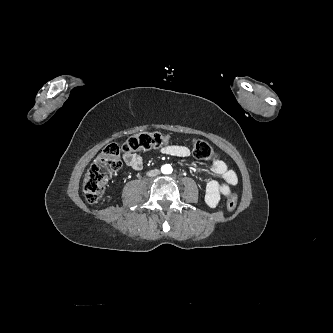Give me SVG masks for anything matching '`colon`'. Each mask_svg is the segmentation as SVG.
I'll return each instance as SVG.
<instances>
[{
    "mask_svg": "<svg viewBox=\"0 0 333 333\" xmlns=\"http://www.w3.org/2000/svg\"><path fill=\"white\" fill-rule=\"evenodd\" d=\"M169 137L160 132H141L129 137L121 146L107 145L89 168L83 182V193L87 202L94 204L104 194L109 177L121 168V156L126 153L147 151L168 143ZM193 155L203 161L216 160V153L205 141L195 139L191 143ZM237 205V195L231 192L227 199V209L233 211Z\"/></svg>",
    "mask_w": 333,
    "mask_h": 333,
    "instance_id": "colon-1",
    "label": "colon"
}]
</instances>
